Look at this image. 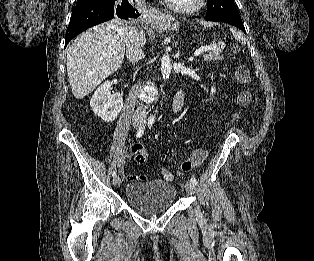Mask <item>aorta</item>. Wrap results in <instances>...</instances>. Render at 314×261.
Masks as SVG:
<instances>
[{
    "instance_id": "obj_1",
    "label": "aorta",
    "mask_w": 314,
    "mask_h": 261,
    "mask_svg": "<svg viewBox=\"0 0 314 261\" xmlns=\"http://www.w3.org/2000/svg\"><path fill=\"white\" fill-rule=\"evenodd\" d=\"M161 73L164 80H168L171 74V58L164 54L161 59Z\"/></svg>"
}]
</instances>
